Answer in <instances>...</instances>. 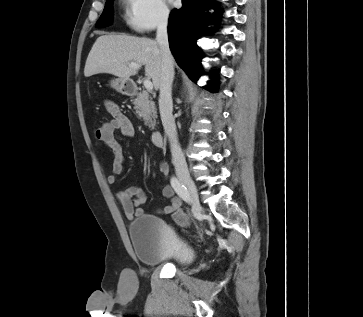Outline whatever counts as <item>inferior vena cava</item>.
I'll return each mask as SVG.
<instances>
[{
    "instance_id": "1",
    "label": "inferior vena cava",
    "mask_w": 363,
    "mask_h": 317,
    "mask_svg": "<svg viewBox=\"0 0 363 317\" xmlns=\"http://www.w3.org/2000/svg\"><path fill=\"white\" fill-rule=\"evenodd\" d=\"M168 15L163 16L158 25L156 41L162 56V68L159 83V110L163 127L168 136L172 154V162L177 171H187V164L177 138L175 120L172 115V82L174 79V62L168 42Z\"/></svg>"
}]
</instances>
